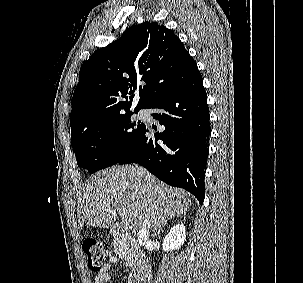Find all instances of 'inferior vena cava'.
Returning a JSON list of instances; mask_svg holds the SVG:
<instances>
[{"mask_svg":"<svg viewBox=\"0 0 303 283\" xmlns=\"http://www.w3.org/2000/svg\"><path fill=\"white\" fill-rule=\"evenodd\" d=\"M150 225L147 223H143L139 232H138V241L139 242H144L147 241L149 238V234H150Z\"/></svg>","mask_w":303,"mask_h":283,"instance_id":"602c4592","label":"inferior vena cava"}]
</instances>
